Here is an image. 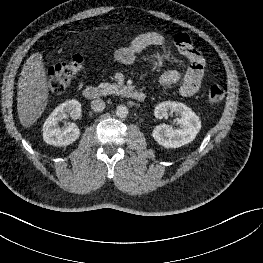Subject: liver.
I'll return each instance as SVG.
<instances>
[{"label": "liver", "instance_id": "liver-1", "mask_svg": "<svg viewBox=\"0 0 263 263\" xmlns=\"http://www.w3.org/2000/svg\"><path fill=\"white\" fill-rule=\"evenodd\" d=\"M42 57L39 52L31 54L18 80L17 111L23 127L33 125L48 103L49 90Z\"/></svg>", "mask_w": 263, "mask_h": 263}]
</instances>
